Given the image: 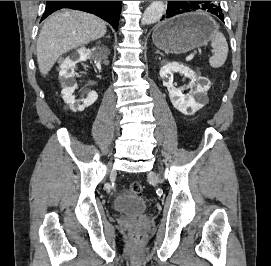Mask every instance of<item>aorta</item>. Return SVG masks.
<instances>
[{
  "label": "aorta",
  "mask_w": 271,
  "mask_h": 266,
  "mask_svg": "<svg viewBox=\"0 0 271 266\" xmlns=\"http://www.w3.org/2000/svg\"><path fill=\"white\" fill-rule=\"evenodd\" d=\"M165 9L163 1H153L144 11L141 22L147 25L157 22L163 16Z\"/></svg>",
  "instance_id": "762f6f07"
}]
</instances>
